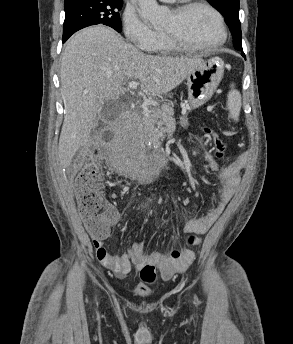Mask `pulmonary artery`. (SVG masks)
Segmentation results:
<instances>
[{
    "mask_svg": "<svg viewBox=\"0 0 293 344\" xmlns=\"http://www.w3.org/2000/svg\"><path fill=\"white\" fill-rule=\"evenodd\" d=\"M161 1H164V2H174L175 0H161Z\"/></svg>",
    "mask_w": 293,
    "mask_h": 344,
    "instance_id": "1",
    "label": "pulmonary artery"
}]
</instances>
